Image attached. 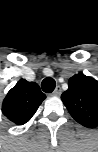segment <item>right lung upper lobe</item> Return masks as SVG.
Segmentation results:
<instances>
[{"label":"right lung upper lobe","mask_w":98,"mask_h":152,"mask_svg":"<svg viewBox=\"0 0 98 152\" xmlns=\"http://www.w3.org/2000/svg\"><path fill=\"white\" fill-rule=\"evenodd\" d=\"M46 98L35 82L20 79L7 93L2 103V113L16 125L27 123Z\"/></svg>","instance_id":"1"}]
</instances>
